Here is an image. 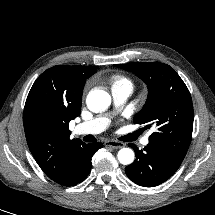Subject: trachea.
Returning a JSON list of instances; mask_svg holds the SVG:
<instances>
[{
	"instance_id": "3493384b",
	"label": "trachea",
	"mask_w": 215,
	"mask_h": 215,
	"mask_svg": "<svg viewBox=\"0 0 215 215\" xmlns=\"http://www.w3.org/2000/svg\"><path fill=\"white\" fill-rule=\"evenodd\" d=\"M131 137H132V135L127 136L126 140L131 139ZM87 140H88L89 142H94L95 139L92 137V138H88Z\"/></svg>"
}]
</instances>
